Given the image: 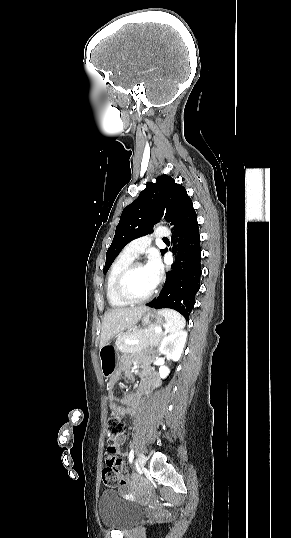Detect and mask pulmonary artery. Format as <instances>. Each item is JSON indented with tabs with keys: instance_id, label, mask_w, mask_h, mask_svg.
<instances>
[{
	"instance_id": "1",
	"label": "pulmonary artery",
	"mask_w": 291,
	"mask_h": 538,
	"mask_svg": "<svg viewBox=\"0 0 291 538\" xmlns=\"http://www.w3.org/2000/svg\"><path fill=\"white\" fill-rule=\"evenodd\" d=\"M155 237L157 238H168L170 236V231L165 227H160L155 231ZM152 237L143 236L131 241L124 249L126 253L130 256L136 258L142 254L151 244Z\"/></svg>"
}]
</instances>
